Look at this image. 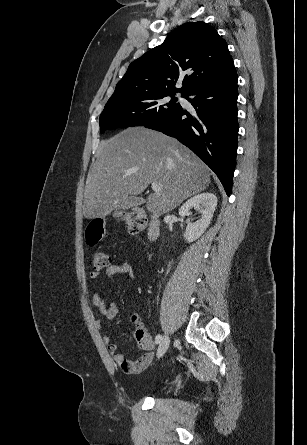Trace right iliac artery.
Wrapping results in <instances>:
<instances>
[{
  "instance_id": "1",
  "label": "right iliac artery",
  "mask_w": 307,
  "mask_h": 445,
  "mask_svg": "<svg viewBox=\"0 0 307 445\" xmlns=\"http://www.w3.org/2000/svg\"><path fill=\"white\" fill-rule=\"evenodd\" d=\"M161 339H162V336H161L160 334H158V335L155 337V343H156V344L160 343Z\"/></svg>"
}]
</instances>
